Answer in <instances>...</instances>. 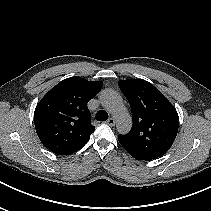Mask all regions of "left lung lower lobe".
Segmentation results:
<instances>
[{"instance_id": "0a47b994", "label": "left lung lower lobe", "mask_w": 211, "mask_h": 211, "mask_svg": "<svg viewBox=\"0 0 211 211\" xmlns=\"http://www.w3.org/2000/svg\"><path fill=\"white\" fill-rule=\"evenodd\" d=\"M119 140V139H118ZM134 158H136V159H138V160H150V159H144V158H139V157H134Z\"/></svg>"}]
</instances>
